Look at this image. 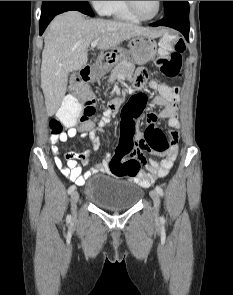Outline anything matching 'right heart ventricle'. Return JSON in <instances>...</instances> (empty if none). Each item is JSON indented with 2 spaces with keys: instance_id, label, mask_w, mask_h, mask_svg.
I'll use <instances>...</instances> for the list:
<instances>
[{
  "instance_id": "e07e8e85",
  "label": "right heart ventricle",
  "mask_w": 233,
  "mask_h": 295,
  "mask_svg": "<svg viewBox=\"0 0 233 295\" xmlns=\"http://www.w3.org/2000/svg\"><path fill=\"white\" fill-rule=\"evenodd\" d=\"M108 15L124 21H138V19L129 11L125 1H111Z\"/></svg>"
}]
</instances>
